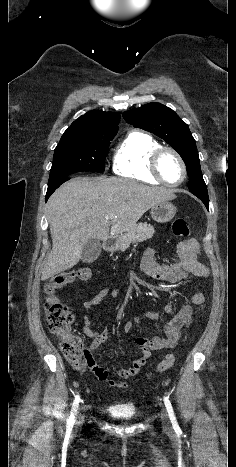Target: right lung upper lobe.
Instances as JSON below:
<instances>
[{
    "mask_svg": "<svg viewBox=\"0 0 236 467\" xmlns=\"http://www.w3.org/2000/svg\"><path fill=\"white\" fill-rule=\"evenodd\" d=\"M119 121L118 113L90 111L75 120L65 133H117Z\"/></svg>",
    "mask_w": 236,
    "mask_h": 467,
    "instance_id": "1",
    "label": "right lung upper lobe"
}]
</instances>
